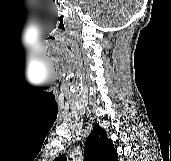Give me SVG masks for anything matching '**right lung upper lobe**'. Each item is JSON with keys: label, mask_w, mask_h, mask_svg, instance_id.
<instances>
[{"label": "right lung upper lobe", "mask_w": 171, "mask_h": 161, "mask_svg": "<svg viewBox=\"0 0 171 161\" xmlns=\"http://www.w3.org/2000/svg\"><path fill=\"white\" fill-rule=\"evenodd\" d=\"M85 161H118L117 151L106 132L95 124L91 134L85 143ZM53 161H66V157L60 156Z\"/></svg>", "instance_id": "1"}]
</instances>
